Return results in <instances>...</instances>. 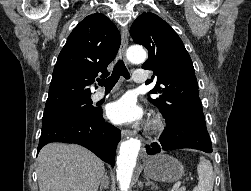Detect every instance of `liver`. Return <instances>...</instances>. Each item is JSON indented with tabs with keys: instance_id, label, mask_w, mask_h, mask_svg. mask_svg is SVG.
<instances>
[{
	"instance_id": "1",
	"label": "liver",
	"mask_w": 251,
	"mask_h": 191,
	"mask_svg": "<svg viewBox=\"0 0 251 191\" xmlns=\"http://www.w3.org/2000/svg\"><path fill=\"white\" fill-rule=\"evenodd\" d=\"M104 171L102 159L76 143H47L37 157L40 191H97Z\"/></svg>"
}]
</instances>
